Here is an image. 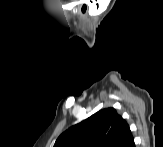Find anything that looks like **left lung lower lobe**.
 Instances as JSON below:
<instances>
[{
    "label": "left lung lower lobe",
    "mask_w": 163,
    "mask_h": 147,
    "mask_svg": "<svg viewBox=\"0 0 163 147\" xmlns=\"http://www.w3.org/2000/svg\"><path fill=\"white\" fill-rule=\"evenodd\" d=\"M115 147H135L134 138L129 126L124 130Z\"/></svg>",
    "instance_id": "0a47b994"
}]
</instances>
